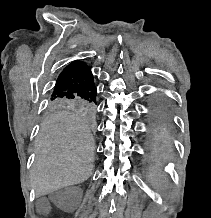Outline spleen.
Returning a JSON list of instances; mask_svg holds the SVG:
<instances>
[{"mask_svg":"<svg viewBox=\"0 0 211 218\" xmlns=\"http://www.w3.org/2000/svg\"><path fill=\"white\" fill-rule=\"evenodd\" d=\"M148 178L152 188H154L156 192H161V190H167V178L164 172H162L160 164L150 166L148 170Z\"/></svg>","mask_w":211,"mask_h":218,"instance_id":"3e777b00","label":"spleen"}]
</instances>
